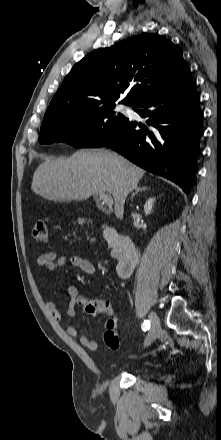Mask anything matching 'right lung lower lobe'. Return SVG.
<instances>
[{
    "label": "right lung lower lobe",
    "mask_w": 221,
    "mask_h": 440,
    "mask_svg": "<svg viewBox=\"0 0 221 440\" xmlns=\"http://www.w3.org/2000/svg\"><path fill=\"white\" fill-rule=\"evenodd\" d=\"M200 97L191 79L134 105L147 126L127 120L102 146L178 184L186 194L197 171L203 134ZM139 126L141 129H136Z\"/></svg>",
    "instance_id": "obj_1"
}]
</instances>
